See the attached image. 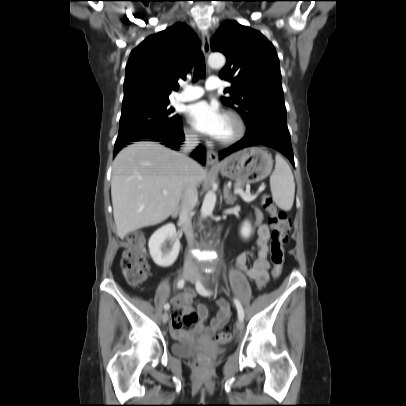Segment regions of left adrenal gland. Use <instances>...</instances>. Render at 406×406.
<instances>
[{
	"mask_svg": "<svg viewBox=\"0 0 406 406\" xmlns=\"http://www.w3.org/2000/svg\"><path fill=\"white\" fill-rule=\"evenodd\" d=\"M223 197L226 204H234L236 197L230 192L227 184L224 185Z\"/></svg>",
	"mask_w": 406,
	"mask_h": 406,
	"instance_id": "obj_1",
	"label": "left adrenal gland"
}]
</instances>
